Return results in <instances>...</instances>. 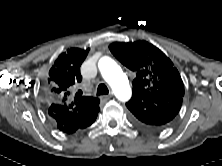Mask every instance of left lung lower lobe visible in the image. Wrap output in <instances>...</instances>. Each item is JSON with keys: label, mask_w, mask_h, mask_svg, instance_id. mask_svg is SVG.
<instances>
[{"label": "left lung lower lobe", "mask_w": 222, "mask_h": 166, "mask_svg": "<svg viewBox=\"0 0 222 166\" xmlns=\"http://www.w3.org/2000/svg\"><path fill=\"white\" fill-rule=\"evenodd\" d=\"M182 97L179 94H159L153 98L132 95L126 106L136 126L156 130L165 127L177 115Z\"/></svg>", "instance_id": "1"}]
</instances>
